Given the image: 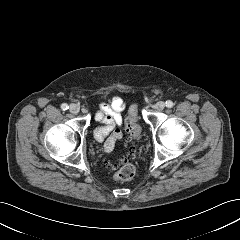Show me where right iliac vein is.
Wrapping results in <instances>:
<instances>
[{"instance_id":"right-iliac-vein-1","label":"right iliac vein","mask_w":240,"mask_h":240,"mask_svg":"<svg viewBox=\"0 0 240 240\" xmlns=\"http://www.w3.org/2000/svg\"><path fill=\"white\" fill-rule=\"evenodd\" d=\"M69 110H70L71 113L77 114L79 112V106L76 105V104H71L69 106Z\"/></svg>"}]
</instances>
